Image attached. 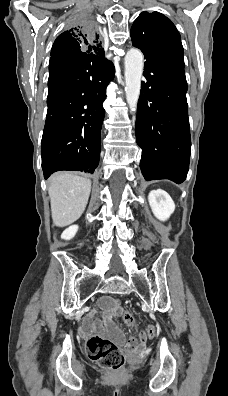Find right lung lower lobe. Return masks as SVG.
Wrapping results in <instances>:
<instances>
[{
	"label": "right lung lower lobe",
	"mask_w": 228,
	"mask_h": 396,
	"mask_svg": "<svg viewBox=\"0 0 228 396\" xmlns=\"http://www.w3.org/2000/svg\"><path fill=\"white\" fill-rule=\"evenodd\" d=\"M115 68L105 57L77 54L49 63L41 155L44 178L60 170L93 173L99 164L106 87Z\"/></svg>",
	"instance_id": "98d812e1"
}]
</instances>
